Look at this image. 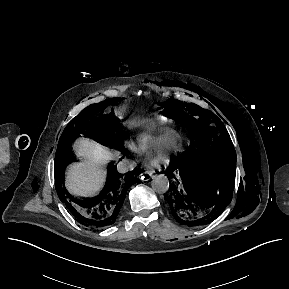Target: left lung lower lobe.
<instances>
[{"label": "left lung lower lobe", "mask_w": 289, "mask_h": 289, "mask_svg": "<svg viewBox=\"0 0 289 289\" xmlns=\"http://www.w3.org/2000/svg\"><path fill=\"white\" fill-rule=\"evenodd\" d=\"M235 172V163L219 168L206 146L190 145L172 159L166 170L170 182L166 200L176 221L193 227L215 220L231 200Z\"/></svg>", "instance_id": "1"}]
</instances>
